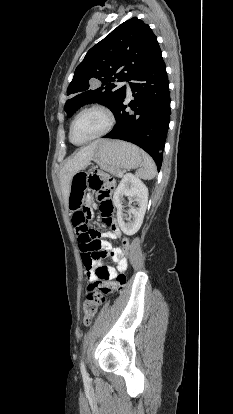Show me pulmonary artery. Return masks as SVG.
<instances>
[{
	"instance_id": "1",
	"label": "pulmonary artery",
	"mask_w": 233,
	"mask_h": 414,
	"mask_svg": "<svg viewBox=\"0 0 233 414\" xmlns=\"http://www.w3.org/2000/svg\"><path fill=\"white\" fill-rule=\"evenodd\" d=\"M122 85L126 86V90L129 96H131V89L128 82H122Z\"/></svg>"
}]
</instances>
